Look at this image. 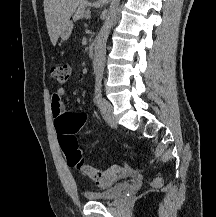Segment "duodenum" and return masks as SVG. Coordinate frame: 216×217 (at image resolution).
I'll return each mask as SVG.
<instances>
[{"label": "duodenum", "mask_w": 216, "mask_h": 217, "mask_svg": "<svg viewBox=\"0 0 216 217\" xmlns=\"http://www.w3.org/2000/svg\"><path fill=\"white\" fill-rule=\"evenodd\" d=\"M95 49H96V43L95 41H91L88 46V53L90 57H94Z\"/></svg>", "instance_id": "duodenum-1"}]
</instances>
